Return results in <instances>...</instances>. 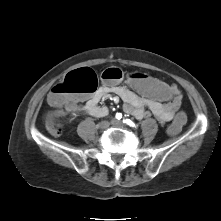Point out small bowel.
Listing matches in <instances>:
<instances>
[{"instance_id":"small-bowel-1","label":"small bowel","mask_w":221,"mask_h":221,"mask_svg":"<svg viewBox=\"0 0 221 221\" xmlns=\"http://www.w3.org/2000/svg\"><path fill=\"white\" fill-rule=\"evenodd\" d=\"M172 85L176 89V98L170 104L152 101L145 95H138L131 89L124 88L123 85L104 84L91 95H81L80 99L84 101L81 107L78 106V98H76L67 110L71 113L103 117L108 114V109L100 106L99 103L108 95L114 94L124 101V111L135 118L142 119L152 115L161 123H167L178 111L182 99L180 89L175 84Z\"/></svg>"}]
</instances>
